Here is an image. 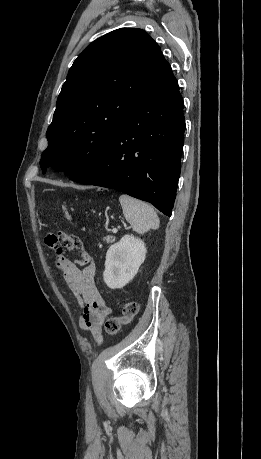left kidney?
Segmentation results:
<instances>
[{
    "mask_svg": "<svg viewBox=\"0 0 261 459\" xmlns=\"http://www.w3.org/2000/svg\"><path fill=\"white\" fill-rule=\"evenodd\" d=\"M146 253L144 242L133 235H125L111 245L106 253L103 273L106 285L111 289L123 288L138 273Z\"/></svg>",
    "mask_w": 261,
    "mask_h": 459,
    "instance_id": "5707ae66",
    "label": "left kidney"
}]
</instances>
